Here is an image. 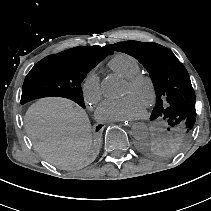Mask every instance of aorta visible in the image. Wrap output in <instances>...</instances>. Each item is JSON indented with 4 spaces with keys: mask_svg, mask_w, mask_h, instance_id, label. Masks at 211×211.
<instances>
[{
    "mask_svg": "<svg viewBox=\"0 0 211 211\" xmlns=\"http://www.w3.org/2000/svg\"><path fill=\"white\" fill-rule=\"evenodd\" d=\"M101 90L105 97L115 99L124 93L125 85L116 76H108L102 80ZM131 134L136 140H143L148 136L149 132L144 123H135L131 128Z\"/></svg>",
    "mask_w": 211,
    "mask_h": 211,
    "instance_id": "obj_1",
    "label": "aorta"
}]
</instances>
